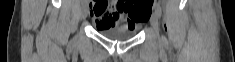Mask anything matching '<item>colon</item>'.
Listing matches in <instances>:
<instances>
[{"instance_id": "colon-1", "label": "colon", "mask_w": 235, "mask_h": 62, "mask_svg": "<svg viewBox=\"0 0 235 62\" xmlns=\"http://www.w3.org/2000/svg\"><path fill=\"white\" fill-rule=\"evenodd\" d=\"M152 0H149L147 3L142 1H126L120 5V8L123 9L124 13L127 15V18L131 21L132 24H138L144 22L150 11V4ZM105 3L99 2L95 6L98 9H104Z\"/></svg>"}]
</instances>
